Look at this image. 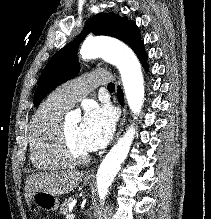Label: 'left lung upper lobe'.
I'll list each match as a JSON object with an SVG mask.
<instances>
[{"mask_svg":"<svg viewBox=\"0 0 211 219\" xmlns=\"http://www.w3.org/2000/svg\"><path fill=\"white\" fill-rule=\"evenodd\" d=\"M89 32L95 35H108L122 40L135 50L141 42V36L134 21L127 17L110 13L92 16L78 37L60 49L46 65L34 95V106L58 85L74 78L80 69L77 50L81 41Z\"/></svg>","mask_w":211,"mask_h":219,"instance_id":"1","label":"left lung upper lobe"}]
</instances>
